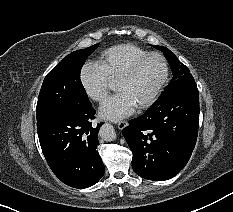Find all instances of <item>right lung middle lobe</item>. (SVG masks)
Listing matches in <instances>:
<instances>
[{
  "instance_id": "dd1d6c3e",
  "label": "right lung middle lobe",
  "mask_w": 233,
  "mask_h": 212,
  "mask_svg": "<svg viewBox=\"0 0 233 212\" xmlns=\"http://www.w3.org/2000/svg\"><path fill=\"white\" fill-rule=\"evenodd\" d=\"M98 45L70 53L46 75L36 108L37 129L60 115L91 105L81 83L80 72Z\"/></svg>"
}]
</instances>
